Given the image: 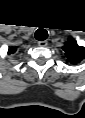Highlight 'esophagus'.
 <instances>
[{
	"mask_svg": "<svg viewBox=\"0 0 85 118\" xmlns=\"http://www.w3.org/2000/svg\"><path fill=\"white\" fill-rule=\"evenodd\" d=\"M38 45L41 46V47H45V46L48 45V42L46 40L45 41H39Z\"/></svg>",
	"mask_w": 85,
	"mask_h": 118,
	"instance_id": "esophagus-1",
	"label": "esophagus"
}]
</instances>
